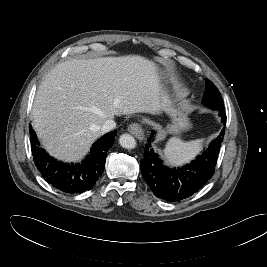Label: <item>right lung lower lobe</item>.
Returning <instances> with one entry per match:
<instances>
[{
    "instance_id": "98d812e1",
    "label": "right lung lower lobe",
    "mask_w": 267,
    "mask_h": 267,
    "mask_svg": "<svg viewBox=\"0 0 267 267\" xmlns=\"http://www.w3.org/2000/svg\"><path fill=\"white\" fill-rule=\"evenodd\" d=\"M31 150L34 162L45 180L56 189L77 194L91 189L103 173L107 151L112 147L116 131L104 135L93 144L90 154L81 162H58L39 147L36 134L30 127Z\"/></svg>"
}]
</instances>
